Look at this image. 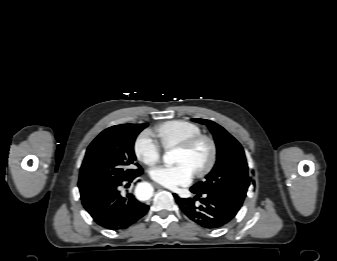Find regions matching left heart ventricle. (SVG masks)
<instances>
[{
  "label": "left heart ventricle",
  "instance_id": "obj_1",
  "mask_svg": "<svg viewBox=\"0 0 337 261\" xmlns=\"http://www.w3.org/2000/svg\"><path fill=\"white\" fill-rule=\"evenodd\" d=\"M210 156V149L207 143L199 144L192 151H184L178 149L175 157L177 164H186L193 172L202 168L208 162Z\"/></svg>",
  "mask_w": 337,
  "mask_h": 261
}]
</instances>
